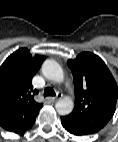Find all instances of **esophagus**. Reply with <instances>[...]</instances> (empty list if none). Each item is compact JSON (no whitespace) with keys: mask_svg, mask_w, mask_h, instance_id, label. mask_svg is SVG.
<instances>
[{"mask_svg":"<svg viewBox=\"0 0 118 142\" xmlns=\"http://www.w3.org/2000/svg\"><path fill=\"white\" fill-rule=\"evenodd\" d=\"M62 96H63V95H62L61 93H57V95H56L55 97H51V98H49V100H50L51 102H56L57 100L61 99Z\"/></svg>","mask_w":118,"mask_h":142,"instance_id":"1","label":"esophagus"}]
</instances>
